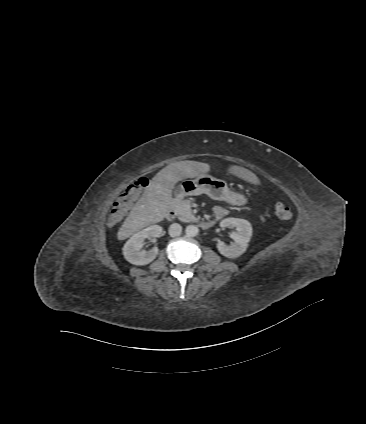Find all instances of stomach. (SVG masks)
Segmentation results:
<instances>
[{
    "mask_svg": "<svg viewBox=\"0 0 366 424\" xmlns=\"http://www.w3.org/2000/svg\"><path fill=\"white\" fill-rule=\"evenodd\" d=\"M187 188H190V190H187ZM180 189L182 194H206L213 200L225 201L232 205L245 201L242 196L230 191L225 181L208 174H201L194 180H185Z\"/></svg>",
    "mask_w": 366,
    "mask_h": 424,
    "instance_id": "stomach-1",
    "label": "stomach"
}]
</instances>
